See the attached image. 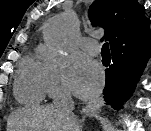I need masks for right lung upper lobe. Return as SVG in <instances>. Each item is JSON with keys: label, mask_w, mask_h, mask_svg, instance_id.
<instances>
[{"label": "right lung upper lobe", "mask_w": 151, "mask_h": 131, "mask_svg": "<svg viewBox=\"0 0 151 131\" xmlns=\"http://www.w3.org/2000/svg\"><path fill=\"white\" fill-rule=\"evenodd\" d=\"M89 17L105 29L102 40L109 41L112 51L122 47L151 48L150 20L137 0H95L89 8Z\"/></svg>", "instance_id": "obj_1"}]
</instances>
